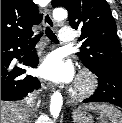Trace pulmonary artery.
<instances>
[{"instance_id":"obj_1","label":"pulmonary artery","mask_w":122,"mask_h":123,"mask_svg":"<svg viewBox=\"0 0 122 123\" xmlns=\"http://www.w3.org/2000/svg\"><path fill=\"white\" fill-rule=\"evenodd\" d=\"M59 40L62 43H70L74 40L73 30L69 27H63L59 31Z\"/></svg>"}]
</instances>
